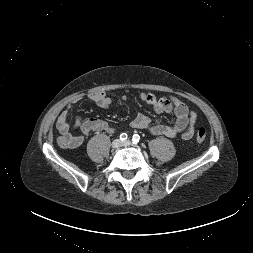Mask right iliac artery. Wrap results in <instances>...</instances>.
<instances>
[{
    "instance_id": "obj_1",
    "label": "right iliac artery",
    "mask_w": 253,
    "mask_h": 253,
    "mask_svg": "<svg viewBox=\"0 0 253 253\" xmlns=\"http://www.w3.org/2000/svg\"><path fill=\"white\" fill-rule=\"evenodd\" d=\"M127 134L126 133H122L121 135H120V139L122 140V141H125L126 139H127Z\"/></svg>"
}]
</instances>
